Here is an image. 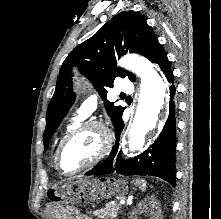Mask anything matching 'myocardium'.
<instances>
[{"mask_svg":"<svg viewBox=\"0 0 221 219\" xmlns=\"http://www.w3.org/2000/svg\"><path fill=\"white\" fill-rule=\"evenodd\" d=\"M92 128L98 129L101 133V136H102L101 148H100L98 154L96 155V157L93 160H91L88 164L84 165L83 167H81L79 169H76L71 172L63 171L61 168V164H60V158H61V154H62L63 149L75 136H77L78 134H80L88 129H92ZM112 143H113V134H112L111 129L108 127V125L106 123H104L101 120L85 121V122L79 124L78 126H76L74 129H72L59 144V146L56 150V154H55V160H54L55 167L58 170V172L63 176H74L76 174L84 172V171L96 166L108 155V153L110 152V150L112 148Z\"/></svg>","mask_w":221,"mask_h":219,"instance_id":"myocardium-1","label":"myocardium"}]
</instances>
